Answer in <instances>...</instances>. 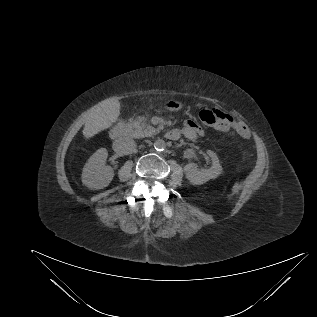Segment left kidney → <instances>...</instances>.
Instances as JSON below:
<instances>
[{
  "instance_id": "left-kidney-1",
  "label": "left kidney",
  "mask_w": 317,
  "mask_h": 317,
  "mask_svg": "<svg viewBox=\"0 0 317 317\" xmlns=\"http://www.w3.org/2000/svg\"><path fill=\"white\" fill-rule=\"evenodd\" d=\"M207 154L211 157L212 166L208 169L198 170L193 163H188L184 166L186 178L195 185H201L210 179L217 178L222 172L218 156L215 152L208 150Z\"/></svg>"
}]
</instances>
